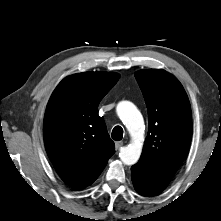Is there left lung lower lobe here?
Here are the masks:
<instances>
[{
	"mask_svg": "<svg viewBox=\"0 0 221 221\" xmlns=\"http://www.w3.org/2000/svg\"><path fill=\"white\" fill-rule=\"evenodd\" d=\"M131 171L134 187L143 196H154L161 193L170 181L140 163L133 165Z\"/></svg>",
	"mask_w": 221,
	"mask_h": 221,
	"instance_id": "left-lung-lower-lobe-1",
	"label": "left lung lower lobe"
}]
</instances>
